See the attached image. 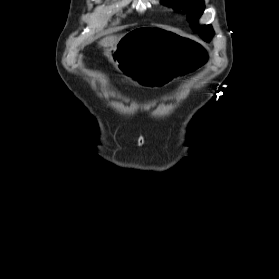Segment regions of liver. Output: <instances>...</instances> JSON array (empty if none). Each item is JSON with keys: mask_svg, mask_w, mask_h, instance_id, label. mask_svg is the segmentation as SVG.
I'll use <instances>...</instances> for the list:
<instances>
[{"mask_svg": "<svg viewBox=\"0 0 279 279\" xmlns=\"http://www.w3.org/2000/svg\"><path fill=\"white\" fill-rule=\"evenodd\" d=\"M120 36H116V35H110L107 36L105 38H103L100 42L99 45L103 46L104 48H109V47H113L114 45L117 44V42L119 41Z\"/></svg>", "mask_w": 279, "mask_h": 279, "instance_id": "liver-1", "label": "liver"}]
</instances>
